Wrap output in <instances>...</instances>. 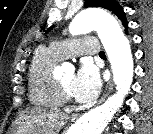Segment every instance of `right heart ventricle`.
I'll return each instance as SVG.
<instances>
[{
    "mask_svg": "<svg viewBox=\"0 0 153 134\" xmlns=\"http://www.w3.org/2000/svg\"><path fill=\"white\" fill-rule=\"evenodd\" d=\"M60 60L50 48L40 47L35 51L28 73L29 99L34 105L49 109L62 105L63 99L52 75Z\"/></svg>",
    "mask_w": 153,
    "mask_h": 134,
    "instance_id": "e07e8e85",
    "label": "right heart ventricle"
}]
</instances>
